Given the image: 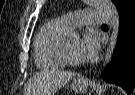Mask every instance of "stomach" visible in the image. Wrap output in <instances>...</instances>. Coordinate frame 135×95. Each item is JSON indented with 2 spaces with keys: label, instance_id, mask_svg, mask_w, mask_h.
Segmentation results:
<instances>
[{
  "label": "stomach",
  "instance_id": "stomach-1",
  "mask_svg": "<svg viewBox=\"0 0 135 95\" xmlns=\"http://www.w3.org/2000/svg\"><path fill=\"white\" fill-rule=\"evenodd\" d=\"M71 87L74 92L84 93L87 90V83L81 82L80 80H74L71 84Z\"/></svg>",
  "mask_w": 135,
  "mask_h": 95
}]
</instances>
